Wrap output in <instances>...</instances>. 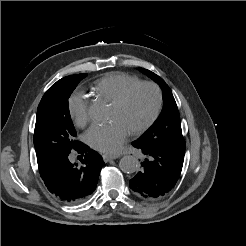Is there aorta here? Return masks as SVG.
<instances>
[{
	"instance_id": "1",
	"label": "aorta",
	"mask_w": 246,
	"mask_h": 246,
	"mask_svg": "<svg viewBox=\"0 0 246 246\" xmlns=\"http://www.w3.org/2000/svg\"><path fill=\"white\" fill-rule=\"evenodd\" d=\"M89 114L96 120H103L106 117V108L101 103H93L89 107ZM138 159L131 155L123 156L119 162V167L124 173H134L138 168Z\"/></svg>"
}]
</instances>
